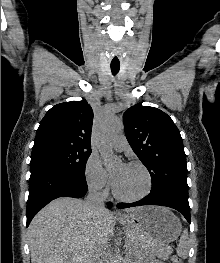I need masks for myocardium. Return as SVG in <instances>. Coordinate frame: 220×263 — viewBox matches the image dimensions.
Segmentation results:
<instances>
[{
  "label": "myocardium",
  "instance_id": "1",
  "mask_svg": "<svg viewBox=\"0 0 220 263\" xmlns=\"http://www.w3.org/2000/svg\"><path fill=\"white\" fill-rule=\"evenodd\" d=\"M128 165L138 166L144 171L146 178H147V187H146L145 191L143 193L137 195V196H124L121 193H119L118 190L116 189L114 178H113L112 179V192H113V195L121 201L137 202V201L144 199L145 197H147L150 194V192L152 190V186H153L152 175H151L149 169L140 161H130V162H128Z\"/></svg>",
  "mask_w": 220,
  "mask_h": 263
}]
</instances>
